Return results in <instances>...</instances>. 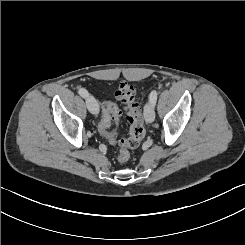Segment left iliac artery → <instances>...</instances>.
Here are the masks:
<instances>
[{
    "label": "left iliac artery",
    "instance_id": "1",
    "mask_svg": "<svg viewBox=\"0 0 245 245\" xmlns=\"http://www.w3.org/2000/svg\"><path fill=\"white\" fill-rule=\"evenodd\" d=\"M157 95H158V92L156 90H153L151 93H150V96H149V100L155 105L156 101H157Z\"/></svg>",
    "mask_w": 245,
    "mask_h": 245
}]
</instances>
